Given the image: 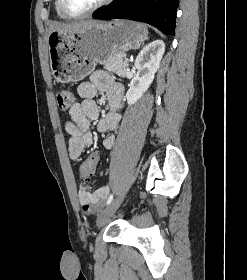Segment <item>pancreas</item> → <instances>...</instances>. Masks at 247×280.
Returning <instances> with one entry per match:
<instances>
[{
	"label": "pancreas",
	"instance_id": "1",
	"mask_svg": "<svg viewBox=\"0 0 247 280\" xmlns=\"http://www.w3.org/2000/svg\"><path fill=\"white\" fill-rule=\"evenodd\" d=\"M123 54H117L104 63V68L120 77H125L128 62L123 61Z\"/></svg>",
	"mask_w": 247,
	"mask_h": 280
}]
</instances>
